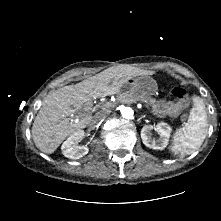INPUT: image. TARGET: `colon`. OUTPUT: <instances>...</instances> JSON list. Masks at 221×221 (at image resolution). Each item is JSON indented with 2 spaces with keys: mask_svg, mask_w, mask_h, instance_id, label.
Segmentation results:
<instances>
[{
  "mask_svg": "<svg viewBox=\"0 0 221 221\" xmlns=\"http://www.w3.org/2000/svg\"><path fill=\"white\" fill-rule=\"evenodd\" d=\"M171 95L178 101L184 102L188 104V98L186 90L182 87H174L171 90Z\"/></svg>",
  "mask_w": 221,
  "mask_h": 221,
  "instance_id": "1",
  "label": "colon"
}]
</instances>
